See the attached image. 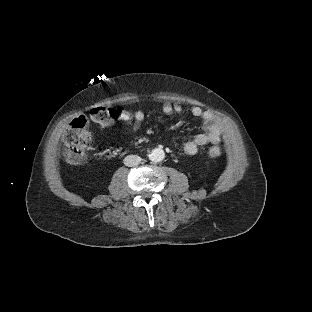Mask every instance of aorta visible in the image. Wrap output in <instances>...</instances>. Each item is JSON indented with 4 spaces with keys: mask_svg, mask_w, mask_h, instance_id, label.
Segmentation results:
<instances>
[{
    "mask_svg": "<svg viewBox=\"0 0 312 312\" xmlns=\"http://www.w3.org/2000/svg\"><path fill=\"white\" fill-rule=\"evenodd\" d=\"M165 158V152L162 148H154L151 151L150 159L154 162H161Z\"/></svg>",
    "mask_w": 312,
    "mask_h": 312,
    "instance_id": "aorta-1",
    "label": "aorta"
}]
</instances>
